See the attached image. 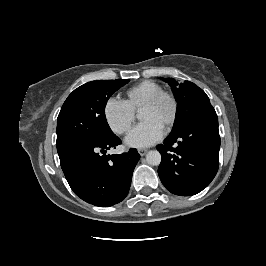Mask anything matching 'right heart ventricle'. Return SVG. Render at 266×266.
<instances>
[{"instance_id":"1","label":"right heart ventricle","mask_w":266,"mask_h":266,"mask_svg":"<svg viewBox=\"0 0 266 266\" xmlns=\"http://www.w3.org/2000/svg\"><path fill=\"white\" fill-rule=\"evenodd\" d=\"M162 91H164V89L160 84L153 81H143L127 91V102L134 110H138L142 108L149 99Z\"/></svg>"}]
</instances>
